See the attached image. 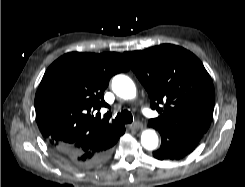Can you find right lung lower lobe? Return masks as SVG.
I'll use <instances>...</instances> for the list:
<instances>
[{"label": "right lung lower lobe", "instance_id": "obj_1", "mask_svg": "<svg viewBox=\"0 0 245 187\" xmlns=\"http://www.w3.org/2000/svg\"><path fill=\"white\" fill-rule=\"evenodd\" d=\"M125 127L114 131L91 136L85 143H74L55 151L67 165L78 169H93L105 163L110 157L112 147L124 134Z\"/></svg>", "mask_w": 245, "mask_h": 187}]
</instances>
